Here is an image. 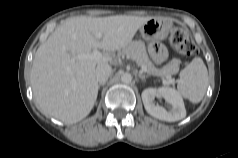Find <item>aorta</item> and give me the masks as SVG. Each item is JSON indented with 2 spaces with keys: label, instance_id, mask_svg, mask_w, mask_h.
<instances>
[{
  "label": "aorta",
  "instance_id": "aorta-1",
  "mask_svg": "<svg viewBox=\"0 0 238 158\" xmlns=\"http://www.w3.org/2000/svg\"><path fill=\"white\" fill-rule=\"evenodd\" d=\"M121 81L123 82V83H126V84H129V83H131V81H132V76H131V74L130 73H123L122 75H121Z\"/></svg>",
  "mask_w": 238,
  "mask_h": 158
}]
</instances>
